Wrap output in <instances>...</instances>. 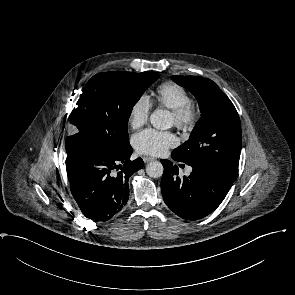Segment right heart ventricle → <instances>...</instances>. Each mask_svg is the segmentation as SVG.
I'll list each match as a JSON object with an SVG mask.
<instances>
[{"label": "right heart ventricle", "mask_w": 295, "mask_h": 295, "mask_svg": "<svg viewBox=\"0 0 295 295\" xmlns=\"http://www.w3.org/2000/svg\"><path fill=\"white\" fill-rule=\"evenodd\" d=\"M156 97L161 106L172 111L182 109L192 103V98L188 91L181 85L173 82L159 85L156 90Z\"/></svg>", "instance_id": "obj_1"}]
</instances>
